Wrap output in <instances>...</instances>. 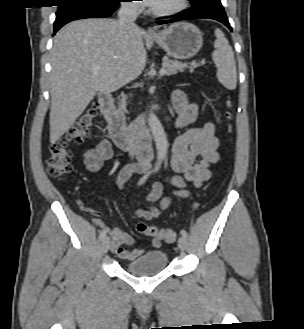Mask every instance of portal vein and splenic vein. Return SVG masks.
<instances>
[{"label":"portal vein and splenic vein","instance_id":"1","mask_svg":"<svg viewBox=\"0 0 304 329\" xmlns=\"http://www.w3.org/2000/svg\"><path fill=\"white\" fill-rule=\"evenodd\" d=\"M93 70H94L95 72L100 71V66H99V65H95V66L93 67ZM164 74H166V69L163 67V68H161V70H160V75L163 76Z\"/></svg>","mask_w":304,"mask_h":329}]
</instances>
